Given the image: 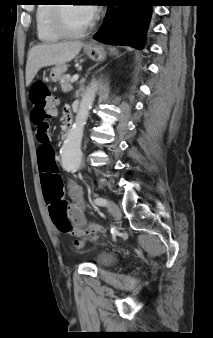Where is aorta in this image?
Segmentation results:
<instances>
[{
    "label": "aorta",
    "instance_id": "aorta-1",
    "mask_svg": "<svg viewBox=\"0 0 213 338\" xmlns=\"http://www.w3.org/2000/svg\"><path fill=\"white\" fill-rule=\"evenodd\" d=\"M96 94V87L92 85L82 96L79 110L67 138L62 146L61 165L65 171H77L82 162L81 142L84 127L93 105Z\"/></svg>",
    "mask_w": 213,
    "mask_h": 338
}]
</instances>
